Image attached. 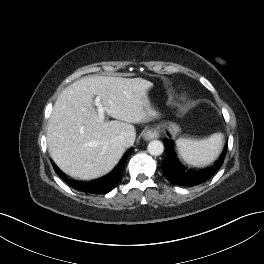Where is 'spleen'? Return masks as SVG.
Instances as JSON below:
<instances>
[{"label":"spleen","mask_w":264,"mask_h":264,"mask_svg":"<svg viewBox=\"0 0 264 264\" xmlns=\"http://www.w3.org/2000/svg\"><path fill=\"white\" fill-rule=\"evenodd\" d=\"M223 134L214 133L204 140L179 138L176 148L180 157L188 164L202 166L213 162L220 154Z\"/></svg>","instance_id":"spleen-1"}]
</instances>
